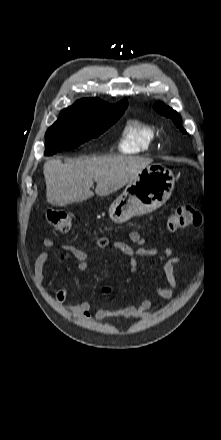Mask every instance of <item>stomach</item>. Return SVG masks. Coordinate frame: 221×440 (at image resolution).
Listing matches in <instances>:
<instances>
[{"label":"stomach","instance_id":"obj_1","mask_svg":"<svg viewBox=\"0 0 221 440\" xmlns=\"http://www.w3.org/2000/svg\"><path fill=\"white\" fill-rule=\"evenodd\" d=\"M175 185L171 170L162 165H150L131 179L125 190L111 204L109 217L123 223L134 216L150 213L162 206Z\"/></svg>","mask_w":221,"mask_h":440}]
</instances>
